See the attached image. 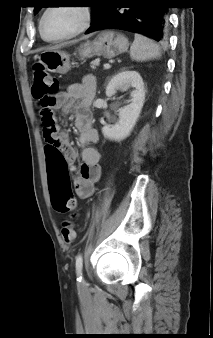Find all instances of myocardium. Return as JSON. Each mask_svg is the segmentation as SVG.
I'll use <instances>...</instances> for the list:
<instances>
[{"label": "myocardium", "instance_id": "f54148a6", "mask_svg": "<svg viewBox=\"0 0 213 338\" xmlns=\"http://www.w3.org/2000/svg\"><path fill=\"white\" fill-rule=\"evenodd\" d=\"M75 7L73 8H77L81 11L82 13V22H81V25L73 32L65 35V36H62V37H58V38H53V39H49V38H46L43 34V24H44V20L47 16V14L53 10L54 8H57V7H48L42 14L41 18H40V22H39V33L41 35V38L46 41V42H50V43H57V42H61V41H65V40H68V39H72V38H75L79 35H81L82 33H84L89 27H90V24H91V20H92V12H91V9L88 7V6H85L83 4H77V5H74Z\"/></svg>", "mask_w": 213, "mask_h": 338}]
</instances>
